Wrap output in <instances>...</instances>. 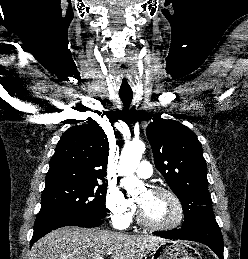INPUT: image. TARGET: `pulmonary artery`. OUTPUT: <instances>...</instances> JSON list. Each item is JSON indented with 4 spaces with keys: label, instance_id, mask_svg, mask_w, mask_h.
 <instances>
[{
    "label": "pulmonary artery",
    "instance_id": "pulmonary-artery-1",
    "mask_svg": "<svg viewBox=\"0 0 248 259\" xmlns=\"http://www.w3.org/2000/svg\"><path fill=\"white\" fill-rule=\"evenodd\" d=\"M136 175L140 178H149L152 175V166L148 161H142L137 170Z\"/></svg>",
    "mask_w": 248,
    "mask_h": 259
}]
</instances>
